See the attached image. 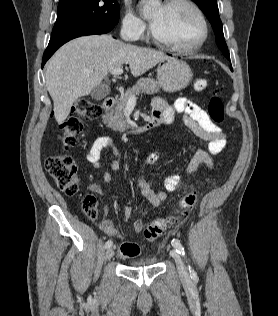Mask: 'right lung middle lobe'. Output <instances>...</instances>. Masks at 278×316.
Instances as JSON below:
<instances>
[{"label":"right lung middle lobe","mask_w":278,"mask_h":316,"mask_svg":"<svg viewBox=\"0 0 278 316\" xmlns=\"http://www.w3.org/2000/svg\"><path fill=\"white\" fill-rule=\"evenodd\" d=\"M118 21L116 0H60L52 36L94 24L116 25Z\"/></svg>","instance_id":"1"}]
</instances>
